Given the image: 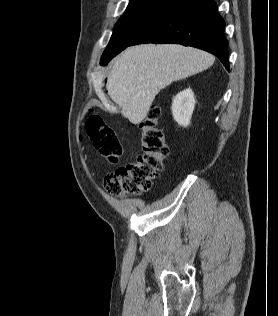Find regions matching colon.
Segmentation results:
<instances>
[{
	"label": "colon",
	"instance_id": "1",
	"mask_svg": "<svg viewBox=\"0 0 278 316\" xmlns=\"http://www.w3.org/2000/svg\"><path fill=\"white\" fill-rule=\"evenodd\" d=\"M161 110L152 106L139 124L143 153L134 162L118 167L104 178L105 190L115 196L140 195L148 191L163 170L169 153L158 127ZM85 132L94 147L112 164L119 162L123 147L118 133L98 115L88 117Z\"/></svg>",
	"mask_w": 278,
	"mask_h": 316
}]
</instances>
